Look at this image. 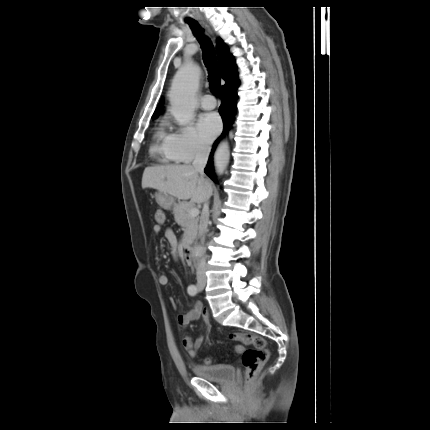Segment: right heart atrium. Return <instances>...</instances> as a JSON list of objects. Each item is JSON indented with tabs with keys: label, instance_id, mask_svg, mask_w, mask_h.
Wrapping results in <instances>:
<instances>
[{
	"label": "right heart atrium",
	"instance_id": "right-heart-atrium-1",
	"mask_svg": "<svg viewBox=\"0 0 430 430\" xmlns=\"http://www.w3.org/2000/svg\"><path fill=\"white\" fill-rule=\"evenodd\" d=\"M169 147L177 162L189 163L193 159L206 156L209 146L193 125H184L174 129L169 136Z\"/></svg>",
	"mask_w": 430,
	"mask_h": 430
}]
</instances>
